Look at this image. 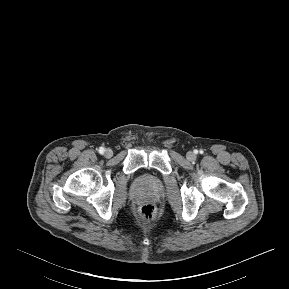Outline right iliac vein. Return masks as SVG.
<instances>
[{"mask_svg":"<svg viewBox=\"0 0 289 289\" xmlns=\"http://www.w3.org/2000/svg\"><path fill=\"white\" fill-rule=\"evenodd\" d=\"M104 156L106 158H110L113 156V151L110 149V148H107L105 151H104Z\"/></svg>","mask_w":289,"mask_h":289,"instance_id":"63e3f726","label":"right iliac vein"}]
</instances>
